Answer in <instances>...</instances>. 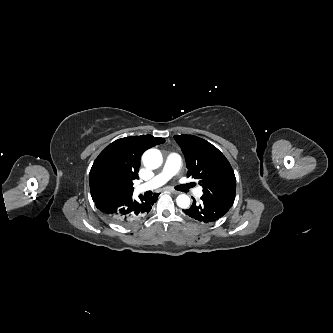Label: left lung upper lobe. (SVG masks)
Here are the masks:
<instances>
[{"mask_svg":"<svg viewBox=\"0 0 333 333\" xmlns=\"http://www.w3.org/2000/svg\"><path fill=\"white\" fill-rule=\"evenodd\" d=\"M188 168L187 176L198 179L205 196L231 202L236 178L226 157L208 141L192 135H176Z\"/></svg>","mask_w":333,"mask_h":333,"instance_id":"obj_1","label":"left lung upper lobe"}]
</instances>
